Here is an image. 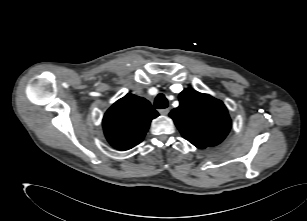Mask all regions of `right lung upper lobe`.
<instances>
[{"label":"right lung upper lobe","mask_w":307,"mask_h":221,"mask_svg":"<svg viewBox=\"0 0 307 221\" xmlns=\"http://www.w3.org/2000/svg\"><path fill=\"white\" fill-rule=\"evenodd\" d=\"M158 116L149 101L128 93L104 115L102 123L106 139L115 149H131L143 140L151 120Z\"/></svg>","instance_id":"right-lung-upper-lobe-1"}]
</instances>
